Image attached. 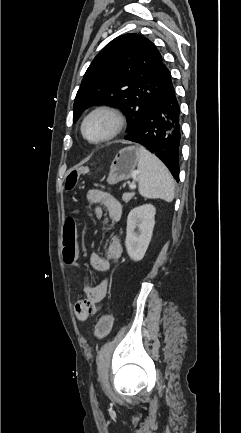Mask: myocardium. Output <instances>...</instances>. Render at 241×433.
Instances as JSON below:
<instances>
[{
	"label": "myocardium",
	"mask_w": 241,
	"mask_h": 433,
	"mask_svg": "<svg viewBox=\"0 0 241 433\" xmlns=\"http://www.w3.org/2000/svg\"><path fill=\"white\" fill-rule=\"evenodd\" d=\"M97 115L108 116L112 122V126L106 135H104L103 137H101L99 139L93 140V139H90L86 136L85 126L91 118H93ZM125 125H126L125 116L123 115V113L119 109L112 107V106H109V105H101V106H97V107L93 108L91 111H89L84 116V118L81 122L80 131H81L82 137L88 143L93 144V145H101V144H105L107 142L112 141L118 135H120V133L123 131Z\"/></svg>",
	"instance_id": "f54148a6"
}]
</instances>
